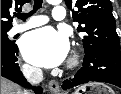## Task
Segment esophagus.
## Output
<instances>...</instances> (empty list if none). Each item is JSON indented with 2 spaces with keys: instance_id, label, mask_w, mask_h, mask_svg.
Instances as JSON below:
<instances>
[{
  "instance_id": "1",
  "label": "esophagus",
  "mask_w": 121,
  "mask_h": 94,
  "mask_svg": "<svg viewBox=\"0 0 121 94\" xmlns=\"http://www.w3.org/2000/svg\"><path fill=\"white\" fill-rule=\"evenodd\" d=\"M48 87H49V90L54 93V94H60V86H59V83L58 81L56 80H51L49 83H48Z\"/></svg>"
}]
</instances>
